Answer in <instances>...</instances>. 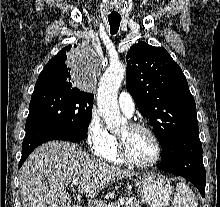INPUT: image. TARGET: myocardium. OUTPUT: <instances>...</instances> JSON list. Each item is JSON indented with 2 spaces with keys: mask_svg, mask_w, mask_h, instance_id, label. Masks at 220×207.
Instances as JSON below:
<instances>
[{
  "mask_svg": "<svg viewBox=\"0 0 220 207\" xmlns=\"http://www.w3.org/2000/svg\"><path fill=\"white\" fill-rule=\"evenodd\" d=\"M128 125L131 129L144 130L151 136L154 142V145H155V150H156L155 157L153 158V160L147 163H139V162L132 160L128 154L125 141L123 140V138L117 136L116 143H117V152H118L119 157L122 159V161L125 164L132 166V167H136V168L144 169V168H150L156 165L160 160V157L162 154V148H161L159 138L154 132V130L148 125L143 124V123L132 122V123H129Z\"/></svg>",
  "mask_w": 220,
  "mask_h": 207,
  "instance_id": "myocardium-1",
  "label": "myocardium"
}]
</instances>
